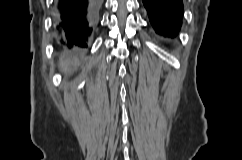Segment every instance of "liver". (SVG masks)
Instances as JSON below:
<instances>
[{"label": "liver", "mask_w": 242, "mask_h": 160, "mask_svg": "<svg viewBox=\"0 0 242 160\" xmlns=\"http://www.w3.org/2000/svg\"><path fill=\"white\" fill-rule=\"evenodd\" d=\"M76 60H72L71 57L67 54H63L60 58V66L67 69L69 65L76 64Z\"/></svg>", "instance_id": "obj_1"}]
</instances>
